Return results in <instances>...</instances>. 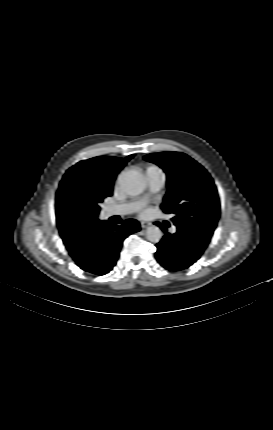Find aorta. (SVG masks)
Masks as SVG:
<instances>
[{"label":"aorta","instance_id":"aorta-1","mask_svg":"<svg viewBox=\"0 0 273 430\" xmlns=\"http://www.w3.org/2000/svg\"><path fill=\"white\" fill-rule=\"evenodd\" d=\"M120 188L130 196L141 194L145 189L144 175L137 170L122 172L118 178ZM162 238V231L159 227L152 225L146 230V239L152 243H158Z\"/></svg>","mask_w":273,"mask_h":430}]
</instances>
